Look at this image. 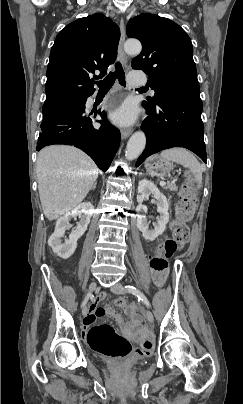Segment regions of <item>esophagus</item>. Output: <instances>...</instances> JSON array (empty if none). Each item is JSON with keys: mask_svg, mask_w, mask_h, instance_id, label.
I'll return each instance as SVG.
<instances>
[{"mask_svg": "<svg viewBox=\"0 0 243 404\" xmlns=\"http://www.w3.org/2000/svg\"><path fill=\"white\" fill-rule=\"evenodd\" d=\"M119 28H120V32H121V37H120V41H119V47H118V51H119V57L121 62L126 65L127 63V56L124 52V42H125V25H124V20L121 17L120 19V23H119ZM132 130L131 129H122L121 130V137L122 139H127V137H129V135H131Z\"/></svg>", "mask_w": 243, "mask_h": 404, "instance_id": "1", "label": "esophagus"}]
</instances>
